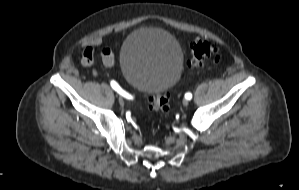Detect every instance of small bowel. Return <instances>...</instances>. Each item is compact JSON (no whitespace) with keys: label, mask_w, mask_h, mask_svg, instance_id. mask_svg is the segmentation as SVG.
Here are the masks:
<instances>
[{"label":"small bowel","mask_w":299,"mask_h":190,"mask_svg":"<svg viewBox=\"0 0 299 190\" xmlns=\"http://www.w3.org/2000/svg\"><path fill=\"white\" fill-rule=\"evenodd\" d=\"M103 43L101 37H94L86 42V48L83 57L90 56L93 60L98 56L105 66L112 67L115 65V54L107 47L99 48Z\"/></svg>","instance_id":"small-bowel-1"}]
</instances>
